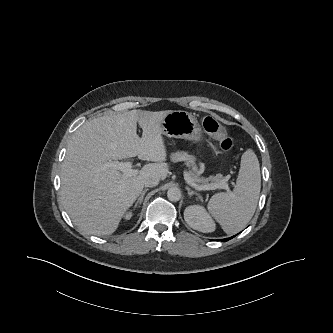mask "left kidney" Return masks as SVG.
Here are the masks:
<instances>
[{
  "label": "left kidney",
  "instance_id": "5707ae66",
  "mask_svg": "<svg viewBox=\"0 0 333 333\" xmlns=\"http://www.w3.org/2000/svg\"><path fill=\"white\" fill-rule=\"evenodd\" d=\"M186 223L193 229L209 233L215 231L216 225L205 208L200 205L188 206L184 211Z\"/></svg>",
  "mask_w": 333,
  "mask_h": 333
}]
</instances>
